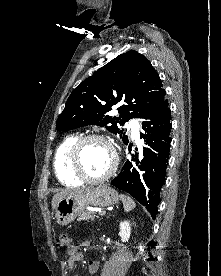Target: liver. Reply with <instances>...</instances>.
Returning <instances> with one entry per match:
<instances>
[{"instance_id": "obj_1", "label": "liver", "mask_w": 221, "mask_h": 276, "mask_svg": "<svg viewBox=\"0 0 221 276\" xmlns=\"http://www.w3.org/2000/svg\"><path fill=\"white\" fill-rule=\"evenodd\" d=\"M87 189H77V190H63L59 193H56L54 196H53V199H52V208L53 209H56V206H57V203L67 197V196H70V195H74V194H78V193H82V192H85Z\"/></svg>"}]
</instances>
